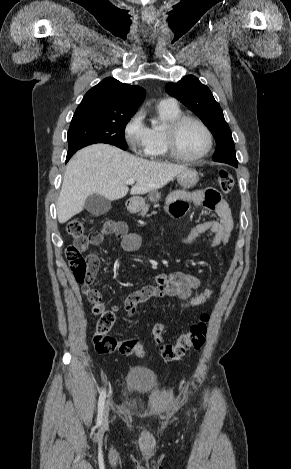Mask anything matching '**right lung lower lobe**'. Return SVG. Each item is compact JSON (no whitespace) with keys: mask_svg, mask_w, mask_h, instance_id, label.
<instances>
[{"mask_svg":"<svg viewBox=\"0 0 291 469\" xmlns=\"http://www.w3.org/2000/svg\"><path fill=\"white\" fill-rule=\"evenodd\" d=\"M77 150H71L67 152V157H66V162L72 157V155L76 152Z\"/></svg>","mask_w":291,"mask_h":469,"instance_id":"right-lung-lower-lobe-1","label":"right lung lower lobe"}]
</instances>
